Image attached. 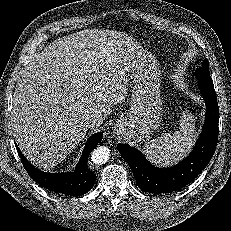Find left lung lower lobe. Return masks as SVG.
Segmentation results:
<instances>
[{
  "instance_id": "obj_1",
  "label": "left lung lower lobe",
  "mask_w": 231,
  "mask_h": 231,
  "mask_svg": "<svg viewBox=\"0 0 231 231\" xmlns=\"http://www.w3.org/2000/svg\"><path fill=\"white\" fill-rule=\"evenodd\" d=\"M198 84L206 103L205 124L192 152L181 163L170 168H157L136 148L117 145L143 191L161 194L180 190L193 181L211 160L218 140L219 108L213 82L199 80Z\"/></svg>"
}]
</instances>
